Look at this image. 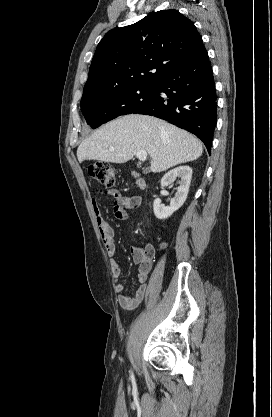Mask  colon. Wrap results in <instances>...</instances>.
I'll return each instance as SVG.
<instances>
[{"label":"colon","mask_w":272,"mask_h":417,"mask_svg":"<svg viewBox=\"0 0 272 417\" xmlns=\"http://www.w3.org/2000/svg\"><path fill=\"white\" fill-rule=\"evenodd\" d=\"M88 173L100 184L111 186L114 183V169L107 162H92L88 167Z\"/></svg>","instance_id":"1"}]
</instances>
